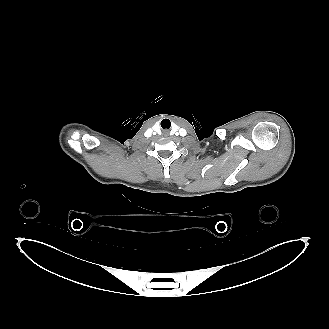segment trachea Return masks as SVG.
I'll list each match as a JSON object with an SVG mask.
<instances>
[{
    "label": "trachea",
    "mask_w": 329,
    "mask_h": 329,
    "mask_svg": "<svg viewBox=\"0 0 329 329\" xmlns=\"http://www.w3.org/2000/svg\"><path fill=\"white\" fill-rule=\"evenodd\" d=\"M170 126H171V122H170V120H168V119H163V120L161 121V127H162L163 129H165V128L169 129Z\"/></svg>",
    "instance_id": "trachea-1"
}]
</instances>
